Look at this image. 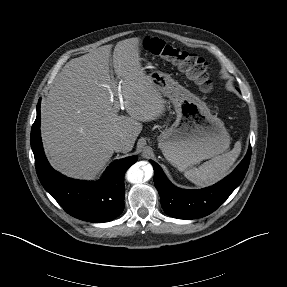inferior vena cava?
Here are the masks:
<instances>
[{"label": "inferior vena cava", "mask_w": 287, "mask_h": 287, "mask_svg": "<svg viewBox=\"0 0 287 287\" xmlns=\"http://www.w3.org/2000/svg\"><path fill=\"white\" fill-rule=\"evenodd\" d=\"M126 144H127L126 140L124 138L119 137L112 139V141L110 142L111 148L116 152L123 151Z\"/></svg>", "instance_id": "602c4592"}]
</instances>
